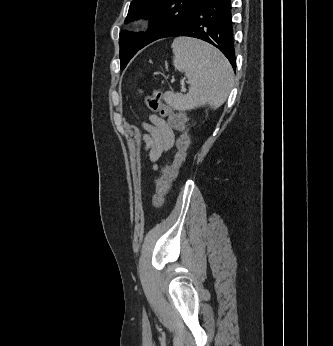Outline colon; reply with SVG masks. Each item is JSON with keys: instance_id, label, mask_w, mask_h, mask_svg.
<instances>
[{"instance_id": "obj_1", "label": "colon", "mask_w": 333, "mask_h": 346, "mask_svg": "<svg viewBox=\"0 0 333 346\" xmlns=\"http://www.w3.org/2000/svg\"><path fill=\"white\" fill-rule=\"evenodd\" d=\"M162 97V91L154 90L146 98L148 108L167 117L170 125L181 133L176 141L177 151L172 162L163 168L162 175L156 180L155 192L152 197V203L156 207L163 205L164 197L170 190L172 182L178 177L179 169L185 162L186 152L190 146V136L185 130V116L182 113L172 112L162 103Z\"/></svg>"}]
</instances>
